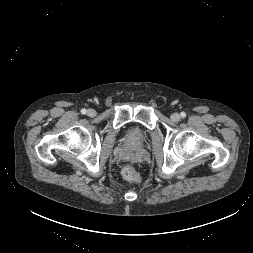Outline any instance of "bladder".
Listing matches in <instances>:
<instances>
[{"label": "bladder", "mask_w": 253, "mask_h": 253, "mask_svg": "<svg viewBox=\"0 0 253 253\" xmlns=\"http://www.w3.org/2000/svg\"><path fill=\"white\" fill-rule=\"evenodd\" d=\"M127 139L135 145H142L147 140V134L139 129H131L127 133Z\"/></svg>", "instance_id": "31cf9c89"}]
</instances>
